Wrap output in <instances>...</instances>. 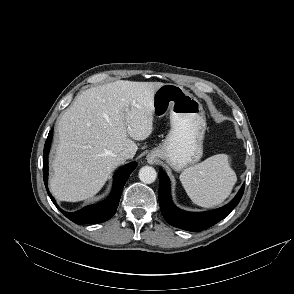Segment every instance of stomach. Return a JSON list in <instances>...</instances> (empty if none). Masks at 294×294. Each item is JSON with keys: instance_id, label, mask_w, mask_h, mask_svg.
Here are the masks:
<instances>
[{"instance_id": "obj_1", "label": "stomach", "mask_w": 294, "mask_h": 294, "mask_svg": "<svg viewBox=\"0 0 294 294\" xmlns=\"http://www.w3.org/2000/svg\"><path fill=\"white\" fill-rule=\"evenodd\" d=\"M170 113L171 129L165 140L147 156L165 160L175 171L197 163L203 154L206 118L202 104L183 87L166 83L153 95V114Z\"/></svg>"}]
</instances>
